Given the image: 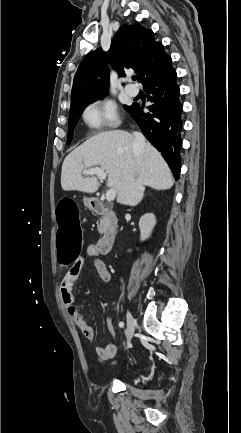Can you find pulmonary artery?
<instances>
[{"instance_id":"1","label":"pulmonary artery","mask_w":241,"mask_h":433,"mask_svg":"<svg viewBox=\"0 0 241 433\" xmlns=\"http://www.w3.org/2000/svg\"><path fill=\"white\" fill-rule=\"evenodd\" d=\"M125 90L131 96H136L138 94V88L134 85H127Z\"/></svg>"}]
</instances>
